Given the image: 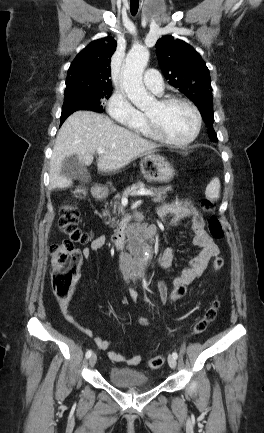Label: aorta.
<instances>
[{"label": "aorta", "mask_w": 264, "mask_h": 433, "mask_svg": "<svg viewBox=\"0 0 264 433\" xmlns=\"http://www.w3.org/2000/svg\"><path fill=\"white\" fill-rule=\"evenodd\" d=\"M149 60V51L143 46L132 48L125 59L123 69V87L127 97L139 109L148 106L153 97L148 95L142 76ZM148 250L145 256H148Z\"/></svg>", "instance_id": "762f6f07"}]
</instances>
